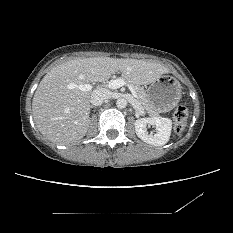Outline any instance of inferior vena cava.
I'll return each instance as SVG.
<instances>
[{"instance_id":"obj_1","label":"inferior vena cava","mask_w":233,"mask_h":233,"mask_svg":"<svg viewBox=\"0 0 233 233\" xmlns=\"http://www.w3.org/2000/svg\"><path fill=\"white\" fill-rule=\"evenodd\" d=\"M111 97V92L104 88L96 89L91 94L90 102L93 106H100L104 100Z\"/></svg>"}]
</instances>
